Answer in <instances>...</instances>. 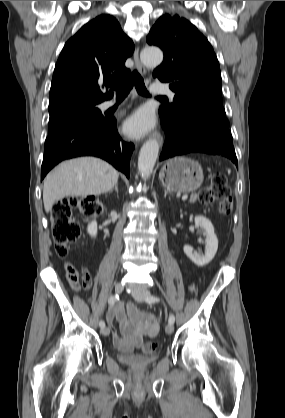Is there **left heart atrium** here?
Listing matches in <instances>:
<instances>
[{
  "mask_svg": "<svg viewBox=\"0 0 285 418\" xmlns=\"http://www.w3.org/2000/svg\"><path fill=\"white\" fill-rule=\"evenodd\" d=\"M155 126V117L147 107L135 110L124 122V132L132 138H141Z\"/></svg>",
  "mask_w": 285,
  "mask_h": 418,
  "instance_id": "obj_1",
  "label": "left heart atrium"
}]
</instances>
